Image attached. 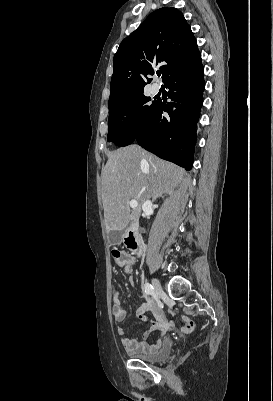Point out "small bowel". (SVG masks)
I'll return each mask as SVG.
<instances>
[{
	"label": "small bowel",
	"instance_id": "c3829d8e",
	"mask_svg": "<svg viewBox=\"0 0 273 401\" xmlns=\"http://www.w3.org/2000/svg\"><path fill=\"white\" fill-rule=\"evenodd\" d=\"M111 255L114 259L115 265L122 269L125 273L130 274L133 270V265L136 263V258L129 252L123 249H113ZM131 285L135 284L134 278H129ZM112 299V314L116 323H122L126 319V312L122 307L120 300V291L118 288L113 287L111 291ZM148 312L152 313V317L148 316ZM137 318L143 322L148 323V328L142 333L140 338L132 337L124 331L123 328L118 327L117 332L122 337L121 343L124 349L131 354H151L157 351L164 343L165 339L158 338L153 343H148V338L153 332H169L172 329L164 316L162 308L150 302L142 303L137 309ZM184 327L182 328L183 334H192L194 332V318L183 317Z\"/></svg>",
	"mask_w": 273,
	"mask_h": 401
}]
</instances>
